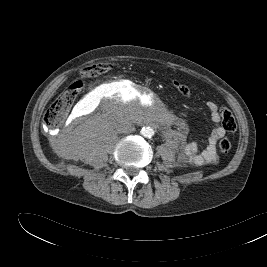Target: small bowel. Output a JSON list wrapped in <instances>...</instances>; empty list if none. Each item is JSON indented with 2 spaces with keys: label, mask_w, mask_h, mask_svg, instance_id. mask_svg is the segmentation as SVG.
Returning <instances> with one entry per match:
<instances>
[{
  "label": "small bowel",
  "mask_w": 267,
  "mask_h": 267,
  "mask_svg": "<svg viewBox=\"0 0 267 267\" xmlns=\"http://www.w3.org/2000/svg\"><path fill=\"white\" fill-rule=\"evenodd\" d=\"M207 110L210 114L211 120L214 123V128L208 137L207 145L205 148H200L196 143L184 144L181 148L180 155L187 162L194 165L213 164L218 160L216 145L228 131L223 125L221 120L220 109L215 102H207Z\"/></svg>",
  "instance_id": "small-bowel-1"
}]
</instances>
